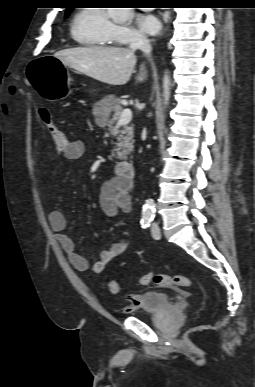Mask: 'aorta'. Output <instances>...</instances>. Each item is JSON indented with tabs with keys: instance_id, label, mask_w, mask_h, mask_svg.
<instances>
[{
	"instance_id": "obj_1",
	"label": "aorta",
	"mask_w": 255,
	"mask_h": 387,
	"mask_svg": "<svg viewBox=\"0 0 255 387\" xmlns=\"http://www.w3.org/2000/svg\"><path fill=\"white\" fill-rule=\"evenodd\" d=\"M133 8H108V15L117 23H125L132 15ZM171 80L169 72L166 71L163 78L164 106H167L170 99ZM155 203L153 199H147L143 205V216L151 217L154 214Z\"/></svg>"
}]
</instances>
